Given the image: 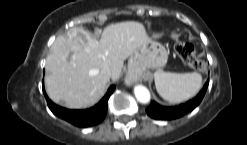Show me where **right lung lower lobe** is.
Listing matches in <instances>:
<instances>
[{"instance_id":"98d812e1","label":"right lung lower lobe","mask_w":247,"mask_h":145,"mask_svg":"<svg viewBox=\"0 0 247 145\" xmlns=\"http://www.w3.org/2000/svg\"><path fill=\"white\" fill-rule=\"evenodd\" d=\"M115 89V86L112 85L106 95L102 98V100L95 105L94 107L86 110H69L57 106L51 100L48 99L45 91L44 95L46 97L48 106L50 110L58 117L70 122L71 124L78 127H88L99 124L106 115L108 99L111 96Z\"/></svg>"}]
</instances>
